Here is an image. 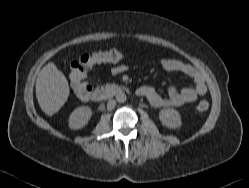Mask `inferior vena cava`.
Here are the masks:
<instances>
[{
  "mask_svg": "<svg viewBox=\"0 0 249 188\" xmlns=\"http://www.w3.org/2000/svg\"><path fill=\"white\" fill-rule=\"evenodd\" d=\"M116 106V101L115 100H109L107 103V109L108 110H112L114 109Z\"/></svg>",
  "mask_w": 249,
  "mask_h": 188,
  "instance_id": "602c4592",
  "label": "inferior vena cava"
}]
</instances>
